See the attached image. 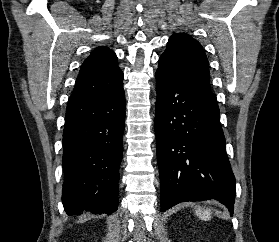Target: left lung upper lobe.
Segmentation results:
<instances>
[{
    "label": "left lung upper lobe",
    "mask_w": 279,
    "mask_h": 242,
    "mask_svg": "<svg viewBox=\"0 0 279 242\" xmlns=\"http://www.w3.org/2000/svg\"><path fill=\"white\" fill-rule=\"evenodd\" d=\"M162 56L169 58L178 69L197 80L212 93L209 81V62L198 41L185 33H175L170 37Z\"/></svg>",
    "instance_id": "5c2ea615"
}]
</instances>
